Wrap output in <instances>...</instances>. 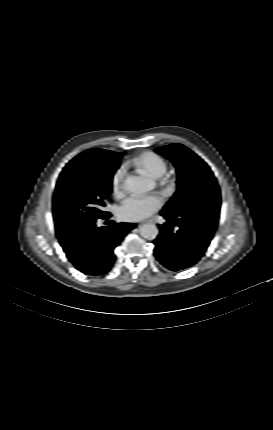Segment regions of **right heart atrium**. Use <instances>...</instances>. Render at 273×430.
Segmentation results:
<instances>
[{"label":"right heart atrium","mask_w":273,"mask_h":430,"mask_svg":"<svg viewBox=\"0 0 273 430\" xmlns=\"http://www.w3.org/2000/svg\"><path fill=\"white\" fill-rule=\"evenodd\" d=\"M124 176H125V168L123 166L119 167L112 176L111 186H112V191L115 195L122 194L124 190Z\"/></svg>","instance_id":"right-heart-atrium-1"}]
</instances>
